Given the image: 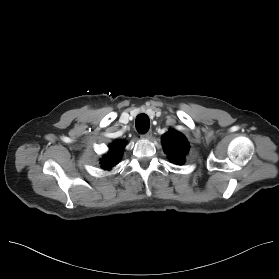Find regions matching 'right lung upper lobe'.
I'll return each mask as SVG.
<instances>
[{"label":"right lung upper lobe","mask_w":279,"mask_h":279,"mask_svg":"<svg viewBox=\"0 0 279 279\" xmlns=\"http://www.w3.org/2000/svg\"><path fill=\"white\" fill-rule=\"evenodd\" d=\"M125 141H116L109 146V152L100 159V164L103 169H110L115 166L121 159L123 148L125 147Z\"/></svg>","instance_id":"cb5924a9"}]
</instances>
